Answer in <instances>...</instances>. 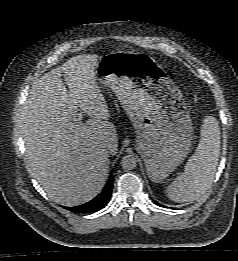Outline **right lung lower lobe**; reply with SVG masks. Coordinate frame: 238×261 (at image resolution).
Listing matches in <instances>:
<instances>
[{
	"label": "right lung lower lobe",
	"mask_w": 238,
	"mask_h": 261,
	"mask_svg": "<svg viewBox=\"0 0 238 261\" xmlns=\"http://www.w3.org/2000/svg\"><path fill=\"white\" fill-rule=\"evenodd\" d=\"M113 181V176L110 175V178L103 191L96 198H94L90 202H87L86 204L66 209L77 213H92L104 208L111 198Z\"/></svg>",
	"instance_id": "98d812e1"
}]
</instances>
